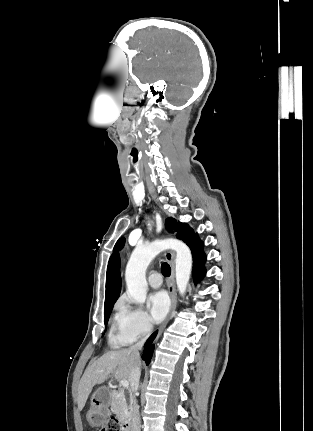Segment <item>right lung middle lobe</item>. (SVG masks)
<instances>
[{
    "instance_id": "right-lung-middle-lobe-1",
    "label": "right lung middle lobe",
    "mask_w": 313,
    "mask_h": 431,
    "mask_svg": "<svg viewBox=\"0 0 313 431\" xmlns=\"http://www.w3.org/2000/svg\"><path fill=\"white\" fill-rule=\"evenodd\" d=\"M112 308H113V305L105 308V310H104V323H105V326L108 323L109 315H110V312H111Z\"/></svg>"
}]
</instances>
